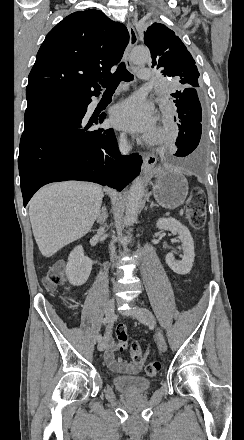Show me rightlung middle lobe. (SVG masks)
<instances>
[{
  "label": "right lung middle lobe",
  "instance_id": "right-lung-middle-lobe-1",
  "mask_svg": "<svg viewBox=\"0 0 244 440\" xmlns=\"http://www.w3.org/2000/svg\"><path fill=\"white\" fill-rule=\"evenodd\" d=\"M28 102H35V101H62V102H70V103H78L81 104L84 99L82 98H73V97H46V98H34V99H28Z\"/></svg>",
  "mask_w": 244,
  "mask_h": 440
}]
</instances>
